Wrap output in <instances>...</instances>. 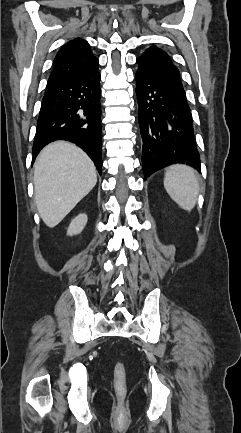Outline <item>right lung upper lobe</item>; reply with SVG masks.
I'll return each mask as SVG.
<instances>
[{
	"instance_id": "obj_1",
	"label": "right lung upper lobe",
	"mask_w": 241,
	"mask_h": 433,
	"mask_svg": "<svg viewBox=\"0 0 241 433\" xmlns=\"http://www.w3.org/2000/svg\"><path fill=\"white\" fill-rule=\"evenodd\" d=\"M99 64L93 56L87 41L77 38L65 44L53 62V71L47 84L62 81L68 77L90 70Z\"/></svg>"
}]
</instances>
